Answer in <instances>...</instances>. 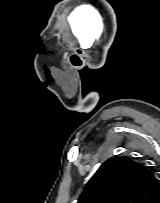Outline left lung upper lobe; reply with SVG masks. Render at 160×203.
Instances as JSON below:
<instances>
[{"instance_id":"5c2ea615","label":"left lung upper lobe","mask_w":160,"mask_h":203,"mask_svg":"<svg viewBox=\"0 0 160 203\" xmlns=\"http://www.w3.org/2000/svg\"><path fill=\"white\" fill-rule=\"evenodd\" d=\"M157 177L129 157L109 158L86 184L77 203H156Z\"/></svg>"}]
</instances>
